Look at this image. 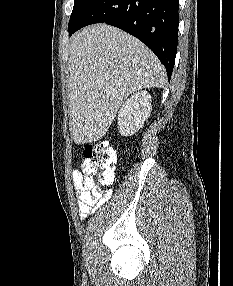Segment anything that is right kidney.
Instances as JSON below:
<instances>
[{
	"mask_svg": "<svg viewBox=\"0 0 233 286\" xmlns=\"http://www.w3.org/2000/svg\"><path fill=\"white\" fill-rule=\"evenodd\" d=\"M152 110V97L146 90L128 98L118 113L119 132L131 136L142 128Z\"/></svg>",
	"mask_w": 233,
	"mask_h": 286,
	"instance_id": "1",
	"label": "right kidney"
}]
</instances>
